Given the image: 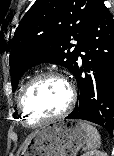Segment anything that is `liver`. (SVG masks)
I'll use <instances>...</instances> for the list:
<instances>
[{"label":"liver","instance_id":"obj_1","mask_svg":"<svg viewBox=\"0 0 114 156\" xmlns=\"http://www.w3.org/2000/svg\"><path fill=\"white\" fill-rule=\"evenodd\" d=\"M34 134V133H33ZM33 134H31L22 144L21 146V150L23 151L25 149V147L27 146L28 142L30 141V139L32 138Z\"/></svg>","mask_w":114,"mask_h":156}]
</instances>
